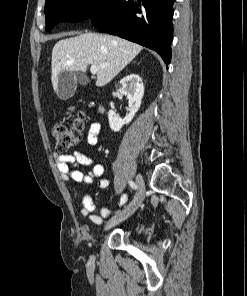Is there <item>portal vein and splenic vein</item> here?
Here are the masks:
<instances>
[{
  "mask_svg": "<svg viewBox=\"0 0 247 296\" xmlns=\"http://www.w3.org/2000/svg\"><path fill=\"white\" fill-rule=\"evenodd\" d=\"M101 67H104V65H102ZM90 71L92 74H96L98 71V66L97 65H91Z\"/></svg>",
  "mask_w": 247,
  "mask_h": 296,
  "instance_id": "18ae733b",
  "label": "portal vein and splenic vein"
}]
</instances>
